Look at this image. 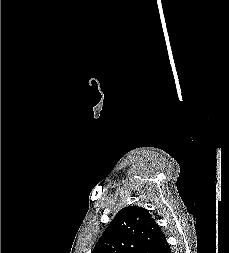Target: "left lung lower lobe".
Segmentation results:
<instances>
[{
  "label": "left lung lower lobe",
  "instance_id": "left-lung-lower-lobe-1",
  "mask_svg": "<svg viewBox=\"0 0 229 253\" xmlns=\"http://www.w3.org/2000/svg\"><path fill=\"white\" fill-rule=\"evenodd\" d=\"M155 253H171L170 245L167 243V240L165 238L159 244Z\"/></svg>",
  "mask_w": 229,
  "mask_h": 253
}]
</instances>
